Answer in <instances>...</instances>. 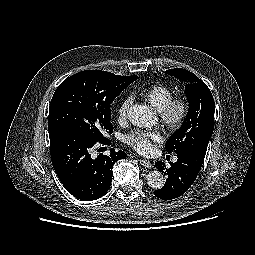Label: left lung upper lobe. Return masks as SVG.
<instances>
[{
	"mask_svg": "<svg viewBox=\"0 0 255 255\" xmlns=\"http://www.w3.org/2000/svg\"><path fill=\"white\" fill-rule=\"evenodd\" d=\"M167 73L186 82L189 110L182 126L167 140L165 149L168 153L196 151L205 155L214 129L215 103L211 91L188 70L176 68L168 70Z\"/></svg>",
	"mask_w": 255,
	"mask_h": 255,
	"instance_id": "left-lung-upper-lobe-1",
	"label": "left lung upper lobe"
}]
</instances>
